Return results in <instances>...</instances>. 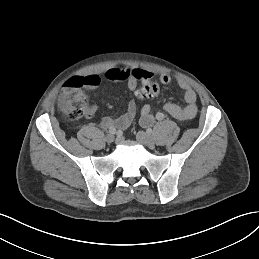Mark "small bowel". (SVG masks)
<instances>
[{
    "label": "small bowel",
    "mask_w": 259,
    "mask_h": 259,
    "mask_svg": "<svg viewBox=\"0 0 259 259\" xmlns=\"http://www.w3.org/2000/svg\"><path fill=\"white\" fill-rule=\"evenodd\" d=\"M106 77L111 81L125 82L131 91H135L141 82H150L159 87V84H168L171 77L168 74H162L158 81H152V74L141 68H110L106 72ZM88 89L96 88L100 83L97 75L85 77ZM178 86L184 91L185 106L167 102L163 105V110L178 121L184 122L193 119L198 113L196 105L197 95L189 84L183 79H177ZM97 111V106L92 105L87 109V115L92 116ZM136 115V104L131 101L127 106L126 112L117 117H105L101 121L103 128L116 127L118 129H126L130 126ZM140 122L143 126H150L153 122V115L149 105H145L141 109Z\"/></svg>",
    "instance_id": "c3829d8e"
}]
</instances>
